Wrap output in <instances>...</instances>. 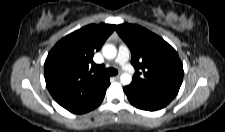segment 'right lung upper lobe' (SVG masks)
Segmentation results:
<instances>
[{
    "instance_id": "right-lung-upper-lobe-1",
    "label": "right lung upper lobe",
    "mask_w": 225,
    "mask_h": 132,
    "mask_svg": "<svg viewBox=\"0 0 225 132\" xmlns=\"http://www.w3.org/2000/svg\"><path fill=\"white\" fill-rule=\"evenodd\" d=\"M115 25L85 26L62 38L49 52L44 65L46 86L55 101L70 112L93 108L106 92L109 78L93 62Z\"/></svg>"
}]
</instances>
